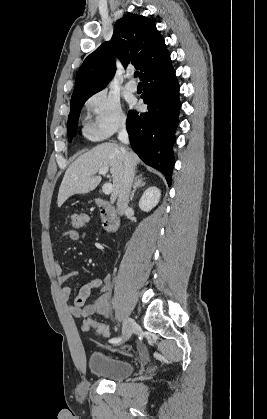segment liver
Returning a JSON list of instances; mask_svg holds the SVG:
<instances>
[{
	"instance_id": "6515ba94",
	"label": "liver",
	"mask_w": 267,
	"mask_h": 419,
	"mask_svg": "<svg viewBox=\"0 0 267 419\" xmlns=\"http://www.w3.org/2000/svg\"><path fill=\"white\" fill-rule=\"evenodd\" d=\"M122 147L116 143H103L79 156L66 170L59 188L57 204L61 206L74 194H86L94 190L101 182L100 176H95L99 169L110 168L113 178L111 201L118 196L120 183L124 173V156ZM131 155L134 166L140 159L133 152Z\"/></svg>"
}]
</instances>
